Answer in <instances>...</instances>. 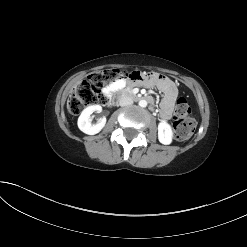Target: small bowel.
Segmentation results:
<instances>
[{"instance_id":"c3829d8e","label":"small bowel","mask_w":247,"mask_h":247,"mask_svg":"<svg viewBox=\"0 0 247 247\" xmlns=\"http://www.w3.org/2000/svg\"><path fill=\"white\" fill-rule=\"evenodd\" d=\"M126 77L133 82H147L148 85L156 86L161 90L164 94V98L160 105V117L163 120H169L171 118L175 101L178 96V90L170 79L154 72L133 70L128 71ZM125 85V79L117 80L105 89V93L110 98L115 92L124 88Z\"/></svg>"}]
</instances>
